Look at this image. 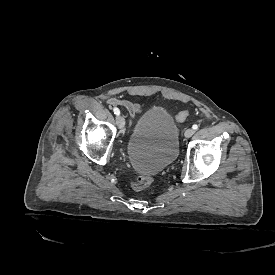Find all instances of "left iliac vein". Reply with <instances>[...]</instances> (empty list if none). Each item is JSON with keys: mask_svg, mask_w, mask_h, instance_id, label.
<instances>
[{"mask_svg": "<svg viewBox=\"0 0 275 275\" xmlns=\"http://www.w3.org/2000/svg\"><path fill=\"white\" fill-rule=\"evenodd\" d=\"M194 134V130L192 128H189L185 132V137L190 138Z\"/></svg>", "mask_w": 275, "mask_h": 275, "instance_id": "4c4485c4", "label": "left iliac vein"}]
</instances>
